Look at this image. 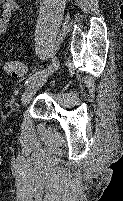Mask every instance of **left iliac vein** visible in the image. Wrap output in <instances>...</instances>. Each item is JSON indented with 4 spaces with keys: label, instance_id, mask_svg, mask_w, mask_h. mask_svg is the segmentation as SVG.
I'll list each match as a JSON object with an SVG mask.
<instances>
[{
    "label": "left iliac vein",
    "instance_id": "obj_1",
    "mask_svg": "<svg viewBox=\"0 0 123 201\" xmlns=\"http://www.w3.org/2000/svg\"><path fill=\"white\" fill-rule=\"evenodd\" d=\"M54 73V71H48L44 74H39L33 78L30 83L27 85L23 95H22V104L26 105L29 103L34 94L42 87V85L47 81V79Z\"/></svg>",
    "mask_w": 123,
    "mask_h": 201
}]
</instances>
